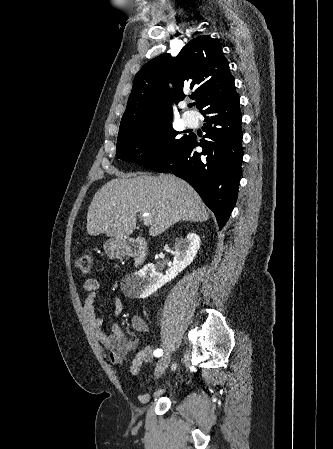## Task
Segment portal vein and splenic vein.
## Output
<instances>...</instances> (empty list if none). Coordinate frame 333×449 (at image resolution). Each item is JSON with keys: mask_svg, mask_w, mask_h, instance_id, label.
Returning <instances> with one entry per match:
<instances>
[{"mask_svg": "<svg viewBox=\"0 0 333 449\" xmlns=\"http://www.w3.org/2000/svg\"><path fill=\"white\" fill-rule=\"evenodd\" d=\"M143 217H144V219H143L144 220V225L147 226V225H151L152 224V221H153L152 219L153 218H152L151 214L146 213V214L143 215Z\"/></svg>", "mask_w": 333, "mask_h": 449, "instance_id": "portal-vein-and-splenic-vein-1", "label": "portal vein and splenic vein"}]
</instances>
